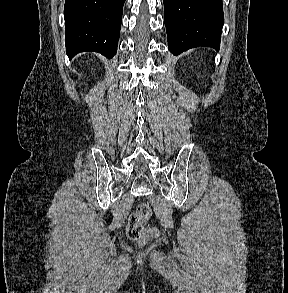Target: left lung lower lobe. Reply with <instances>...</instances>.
<instances>
[{
  "instance_id": "left-lung-lower-lobe-1",
  "label": "left lung lower lobe",
  "mask_w": 288,
  "mask_h": 293,
  "mask_svg": "<svg viewBox=\"0 0 288 293\" xmlns=\"http://www.w3.org/2000/svg\"><path fill=\"white\" fill-rule=\"evenodd\" d=\"M169 50L178 55L195 47L219 50L224 24L222 0H163Z\"/></svg>"
}]
</instances>
